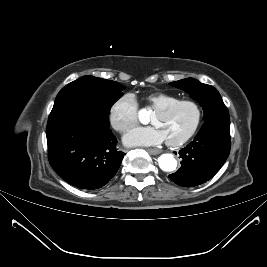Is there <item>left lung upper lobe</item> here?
Segmentation results:
<instances>
[{"label": "left lung upper lobe", "instance_id": "left-lung-upper-lobe-1", "mask_svg": "<svg viewBox=\"0 0 267 267\" xmlns=\"http://www.w3.org/2000/svg\"><path fill=\"white\" fill-rule=\"evenodd\" d=\"M170 85L185 90L204 109V121L218 118H229V112L219 92L211 85L203 84L196 79L186 78L171 82Z\"/></svg>", "mask_w": 267, "mask_h": 267}]
</instances>
